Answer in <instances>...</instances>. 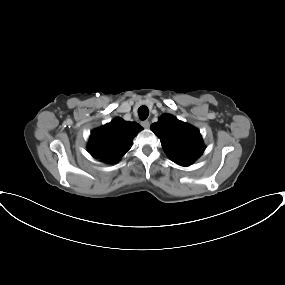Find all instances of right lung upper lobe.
Instances as JSON below:
<instances>
[{"label":"right lung upper lobe","mask_w":285,"mask_h":285,"mask_svg":"<svg viewBox=\"0 0 285 285\" xmlns=\"http://www.w3.org/2000/svg\"><path fill=\"white\" fill-rule=\"evenodd\" d=\"M142 129L136 122L116 118L91 132L88 151L105 163H115L131 148L133 138Z\"/></svg>","instance_id":"obj_1"}]
</instances>
